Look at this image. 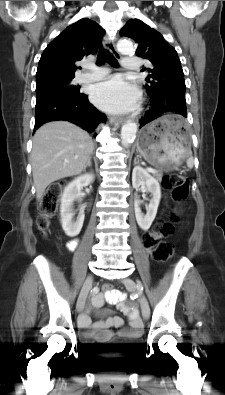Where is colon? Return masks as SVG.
Returning a JSON list of instances; mask_svg holds the SVG:
<instances>
[{"mask_svg": "<svg viewBox=\"0 0 225 395\" xmlns=\"http://www.w3.org/2000/svg\"><path fill=\"white\" fill-rule=\"evenodd\" d=\"M163 185L170 191L174 206L167 211L166 219L157 222L143 239L153 259L159 262L169 260L174 254V245L164 239L174 232V225L181 219L182 205L189 194V180L183 175L168 174L163 177ZM62 187V182L51 184L39 201L37 225L43 233H47L51 220L57 212ZM103 291L111 292L112 286L105 283Z\"/></svg>", "mask_w": 225, "mask_h": 395, "instance_id": "1", "label": "colon"}]
</instances>
